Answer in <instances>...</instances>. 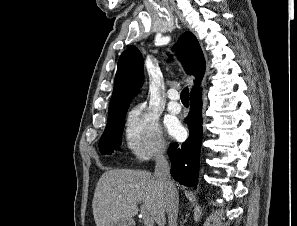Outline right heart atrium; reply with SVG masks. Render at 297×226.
Wrapping results in <instances>:
<instances>
[{"label": "right heart atrium", "instance_id": "1", "mask_svg": "<svg viewBox=\"0 0 297 226\" xmlns=\"http://www.w3.org/2000/svg\"><path fill=\"white\" fill-rule=\"evenodd\" d=\"M127 148L138 158L148 160L164 154L166 143L157 119L146 104H138L127 115Z\"/></svg>", "mask_w": 297, "mask_h": 226}]
</instances>
